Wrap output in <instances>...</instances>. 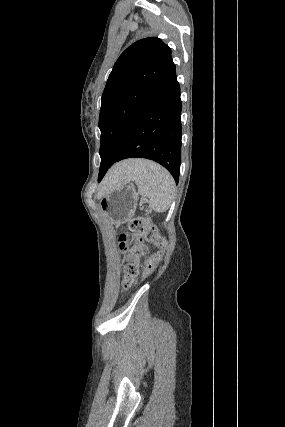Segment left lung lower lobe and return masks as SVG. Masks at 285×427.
I'll return each instance as SVG.
<instances>
[{
  "instance_id": "0a47b994",
  "label": "left lung lower lobe",
  "mask_w": 285,
  "mask_h": 427,
  "mask_svg": "<svg viewBox=\"0 0 285 427\" xmlns=\"http://www.w3.org/2000/svg\"><path fill=\"white\" fill-rule=\"evenodd\" d=\"M181 109L180 86L174 69L130 122L114 163L127 158L151 159L164 166L178 183Z\"/></svg>"
}]
</instances>
